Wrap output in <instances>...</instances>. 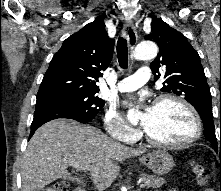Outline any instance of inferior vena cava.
Listing matches in <instances>:
<instances>
[{
  "instance_id": "602c4592",
  "label": "inferior vena cava",
  "mask_w": 221,
  "mask_h": 191,
  "mask_svg": "<svg viewBox=\"0 0 221 191\" xmlns=\"http://www.w3.org/2000/svg\"><path fill=\"white\" fill-rule=\"evenodd\" d=\"M96 188L98 189V191H102L103 187L101 185H96Z\"/></svg>"
}]
</instances>
